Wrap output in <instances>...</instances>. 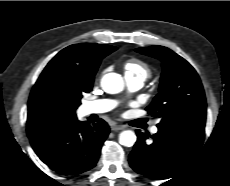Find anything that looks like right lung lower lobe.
I'll return each mask as SVG.
<instances>
[{
    "mask_svg": "<svg viewBox=\"0 0 230 186\" xmlns=\"http://www.w3.org/2000/svg\"><path fill=\"white\" fill-rule=\"evenodd\" d=\"M109 130L102 119L94 126L76 120L54 127L30 142L38 157L52 170L79 174L96 165Z\"/></svg>",
    "mask_w": 230,
    "mask_h": 186,
    "instance_id": "right-lung-lower-lobe-1",
    "label": "right lung lower lobe"
}]
</instances>
